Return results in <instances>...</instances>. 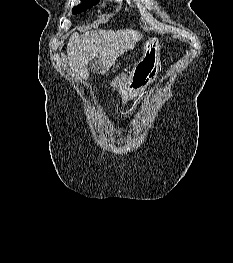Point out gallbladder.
Wrapping results in <instances>:
<instances>
[{
  "label": "gallbladder",
  "instance_id": "obj_1",
  "mask_svg": "<svg viewBox=\"0 0 233 263\" xmlns=\"http://www.w3.org/2000/svg\"><path fill=\"white\" fill-rule=\"evenodd\" d=\"M99 65V60L98 59H94L92 60L90 63H89V69L96 72L98 69H97V66Z\"/></svg>",
  "mask_w": 233,
  "mask_h": 263
}]
</instances>
